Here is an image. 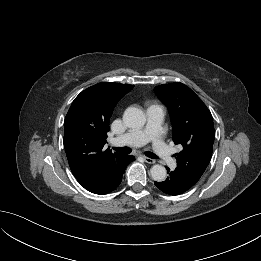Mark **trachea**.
I'll list each match as a JSON object with an SVG mask.
<instances>
[{
  "instance_id": "3493384b",
  "label": "trachea",
  "mask_w": 261,
  "mask_h": 261,
  "mask_svg": "<svg viewBox=\"0 0 261 261\" xmlns=\"http://www.w3.org/2000/svg\"><path fill=\"white\" fill-rule=\"evenodd\" d=\"M115 151L121 153V154H129L131 153V149L129 147H116L113 148ZM145 155L151 159H157L158 157L152 153V152H145Z\"/></svg>"
}]
</instances>
